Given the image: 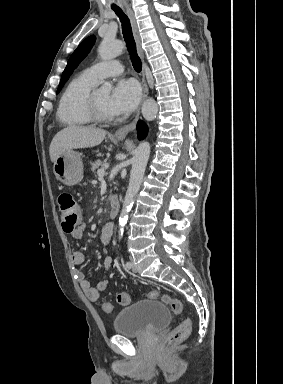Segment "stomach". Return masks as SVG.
<instances>
[{"mask_svg": "<svg viewBox=\"0 0 283 384\" xmlns=\"http://www.w3.org/2000/svg\"><path fill=\"white\" fill-rule=\"evenodd\" d=\"M116 140H125V138H116ZM53 172L56 180L62 182L64 186H75L83 178V162L79 152L67 150L62 156H58L53 164Z\"/></svg>", "mask_w": 283, "mask_h": 384, "instance_id": "0dacf381", "label": "stomach"}]
</instances>
